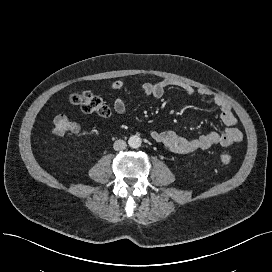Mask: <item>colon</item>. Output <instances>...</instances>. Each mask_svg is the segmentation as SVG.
Here are the masks:
<instances>
[{
    "instance_id": "obj_1",
    "label": "colon",
    "mask_w": 272,
    "mask_h": 272,
    "mask_svg": "<svg viewBox=\"0 0 272 272\" xmlns=\"http://www.w3.org/2000/svg\"><path fill=\"white\" fill-rule=\"evenodd\" d=\"M71 104L79 106L86 113H94L101 117L110 115V108L103 102L101 98L89 91L73 93L69 96ZM79 130L78 124L65 115H58L52 121V133L55 135H65L76 133ZM219 160L223 165H230L233 157L230 154L223 153L219 156Z\"/></svg>"
}]
</instances>
